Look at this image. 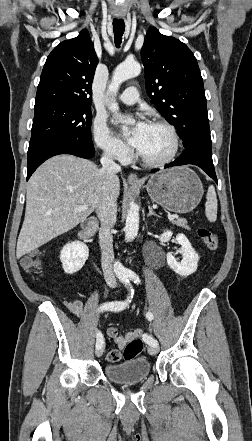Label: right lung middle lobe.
<instances>
[{
    "label": "right lung middle lobe",
    "instance_id": "obj_1",
    "mask_svg": "<svg viewBox=\"0 0 252 441\" xmlns=\"http://www.w3.org/2000/svg\"><path fill=\"white\" fill-rule=\"evenodd\" d=\"M90 105L48 103L35 106L29 147L43 141L75 138L92 141Z\"/></svg>",
    "mask_w": 252,
    "mask_h": 441
}]
</instances>
